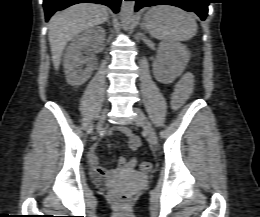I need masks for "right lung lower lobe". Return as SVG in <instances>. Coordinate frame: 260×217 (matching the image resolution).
<instances>
[{
  "instance_id": "obj_1",
  "label": "right lung lower lobe",
  "mask_w": 260,
  "mask_h": 217,
  "mask_svg": "<svg viewBox=\"0 0 260 217\" xmlns=\"http://www.w3.org/2000/svg\"><path fill=\"white\" fill-rule=\"evenodd\" d=\"M121 0H44L46 21L58 10H63L76 3H98L110 7L115 13L119 11Z\"/></svg>"
}]
</instances>
